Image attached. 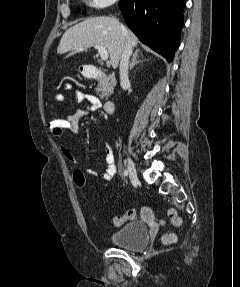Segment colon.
<instances>
[{
    "mask_svg": "<svg viewBox=\"0 0 240 287\" xmlns=\"http://www.w3.org/2000/svg\"><path fill=\"white\" fill-rule=\"evenodd\" d=\"M49 128L54 137H62L68 128L67 119L64 117H56L49 122ZM73 180L77 188L84 189L86 186L85 175L81 170H76L73 174ZM171 221L178 225L180 224V218L176 212L171 209L168 212ZM136 217V211L134 209H128L122 216H116L112 219V223L116 227L122 226L127 221H132ZM176 242V236L172 233H167L162 237V243L164 245H171Z\"/></svg>",
    "mask_w": 240,
    "mask_h": 287,
    "instance_id": "5ec220e1",
    "label": "colon"
}]
</instances>
